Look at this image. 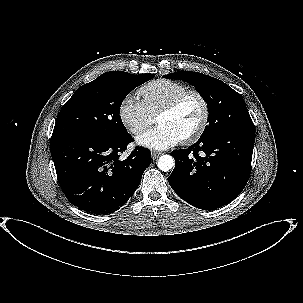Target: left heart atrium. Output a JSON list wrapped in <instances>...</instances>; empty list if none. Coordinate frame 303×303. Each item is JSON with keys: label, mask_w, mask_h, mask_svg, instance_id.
Masks as SVG:
<instances>
[{"label": "left heart atrium", "mask_w": 303, "mask_h": 303, "mask_svg": "<svg viewBox=\"0 0 303 303\" xmlns=\"http://www.w3.org/2000/svg\"><path fill=\"white\" fill-rule=\"evenodd\" d=\"M180 135L165 124H158L137 138V143L156 150H164L178 144Z\"/></svg>", "instance_id": "left-heart-atrium-1"}]
</instances>
